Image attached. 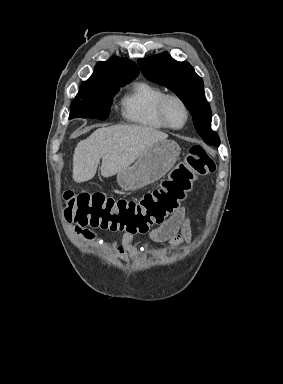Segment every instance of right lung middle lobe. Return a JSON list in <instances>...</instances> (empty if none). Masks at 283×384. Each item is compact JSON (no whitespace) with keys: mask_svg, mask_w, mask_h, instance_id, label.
<instances>
[{"mask_svg":"<svg viewBox=\"0 0 283 384\" xmlns=\"http://www.w3.org/2000/svg\"><path fill=\"white\" fill-rule=\"evenodd\" d=\"M129 82L110 83L101 86L80 89L71 104L69 119L95 118L105 120L110 113L113 97L120 87Z\"/></svg>","mask_w":283,"mask_h":384,"instance_id":"obj_1","label":"right lung middle lobe"}]
</instances>
